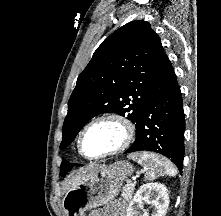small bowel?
I'll return each mask as SVG.
<instances>
[{
	"instance_id": "small-bowel-1",
	"label": "small bowel",
	"mask_w": 221,
	"mask_h": 216,
	"mask_svg": "<svg viewBox=\"0 0 221 216\" xmlns=\"http://www.w3.org/2000/svg\"><path fill=\"white\" fill-rule=\"evenodd\" d=\"M92 216H102L100 211H96L92 214ZM108 216H125V207L123 204H115L112 207V210L108 213Z\"/></svg>"
}]
</instances>
